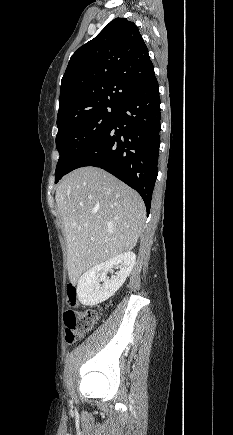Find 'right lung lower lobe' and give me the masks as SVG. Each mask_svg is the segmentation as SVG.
<instances>
[{
  "mask_svg": "<svg viewBox=\"0 0 233 435\" xmlns=\"http://www.w3.org/2000/svg\"><path fill=\"white\" fill-rule=\"evenodd\" d=\"M160 97L155 74L121 103L103 137L70 171L100 167L135 189L147 214L157 178L160 136Z\"/></svg>",
  "mask_w": 233,
  "mask_h": 435,
  "instance_id": "right-lung-lower-lobe-1",
  "label": "right lung lower lobe"
}]
</instances>
